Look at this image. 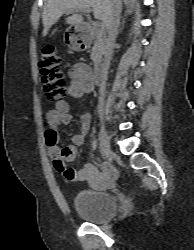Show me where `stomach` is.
<instances>
[{"label": "stomach", "instance_id": "obj_1", "mask_svg": "<svg viewBox=\"0 0 194 250\" xmlns=\"http://www.w3.org/2000/svg\"><path fill=\"white\" fill-rule=\"evenodd\" d=\"M65 39L66 41L70 42V45L74 50H77V51L83 50L81 47L82 44L78 42L79 40H83V41L86 40L85 28L80 24L75 25L74 33H69L65 37Z\"/></svg>", "mask_w": 194, "mask_h": 250}]
</instances>
